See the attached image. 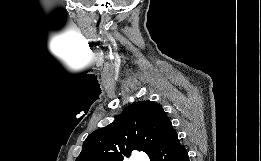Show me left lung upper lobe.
Instances as JSON below:
<instances>
[{"mask_svg":"<svg viewBox=\"0 0 261 161\" xmlns=\"http://www.w3.org/2000/svg\"><path fill=\"white\" fill-rule=\"evenodd\" d=\"M174 131L159 104L150 100L135 102L111 124L92 132L76 161H123L133 150L149 155Z\"/></svg>","mask_w":261,"mask_h":161,"instance_id":"obj_1","label":"left lung upper lobe"}]
</instances>
